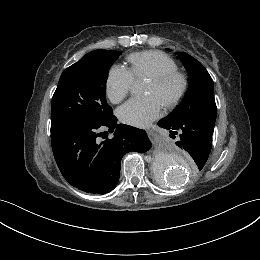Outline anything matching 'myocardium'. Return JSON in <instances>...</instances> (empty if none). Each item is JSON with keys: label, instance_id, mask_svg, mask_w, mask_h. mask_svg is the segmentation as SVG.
I'll list each match as a JSON object with an SVG mask.
<instances>
[{"label": "myocardium", "instance_id": "myocardium-1", "mask_svg": "<svg viewBox=\"0 0 260 260\" xmlns=\"http://www.w3.org/2000/svg\"><path fill=\"white\" fill-rule=\"evenodd\" d=\"M149 81L152 82L156 87H163L171 82L177 83V88L173 94L166 98L164 104L166 106L175 105L185 94L187 89V79L186 77L178 72H166L149 78Z\"/></svg>", "mask_w": 260, "mask_h": 260}]
</instances>
